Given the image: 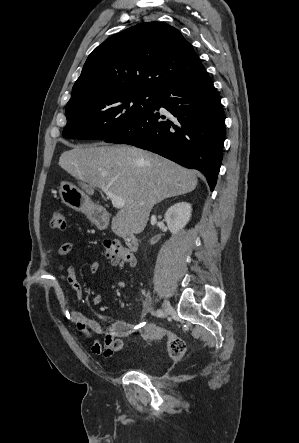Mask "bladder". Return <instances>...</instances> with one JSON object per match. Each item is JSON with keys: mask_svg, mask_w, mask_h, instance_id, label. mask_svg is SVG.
Here are the masks:
<instances>
[{"mask_svg": "<svg viewBox=\"0 0 299 443\" xmlns=\"http://www.w3.org/2000/svg\"><path fill=\"white\" fill-rule=\"evenodd\" d=\"M138 370H140L141 372H144V373H149V366L148 365H139L138 366Z\"/></svg>", "mask_w": 299, "mask_h": 443, "instance_id": "bladder-1", "label": "bladder"}]
</instances>
